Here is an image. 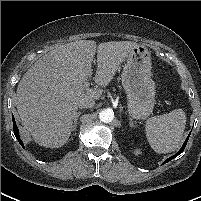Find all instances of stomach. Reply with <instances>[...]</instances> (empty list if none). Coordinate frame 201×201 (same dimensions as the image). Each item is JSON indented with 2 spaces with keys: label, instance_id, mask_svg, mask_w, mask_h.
<instances>
[{
  "label": "stomach",
  "instance_id": "obj_1",
  "mask_svg": "<svg viewBox=\"0 0 201 201\" xmlns=\"http://www.w3.org/2000/svg\"><path fill=\"white\" fill-rule=\"evenodd\" d=\"M151 54L138 45L127 54L122 72V85L128 99V112L135 119L147 118L155 103V83L151 78Z\"/></svg>",
  "mask_w": 201,
  "mask_h": 201
}]
</instances>
